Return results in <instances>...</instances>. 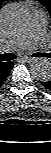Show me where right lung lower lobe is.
<instances>
[{
	"instance_id": "1",
	"label": "right lung lower lobe",
	"mask_w": 51,
	"mask_h": 153,
	"mask_svg": "<svg viewBox=\"0 0 51 153\" xmlns=\"http://www.w3.org/2000/svg\"><path fill=\"white\" fill-rule=\"evenodd\" d=\"M13 65V62H5L2 66H0V86L11 71Z\"/></svg>"
}]
</instances>
